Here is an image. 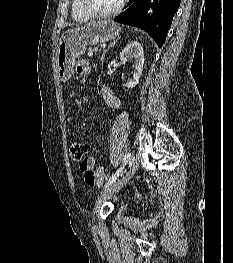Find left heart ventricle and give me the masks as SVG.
Returning a JSON list of instances; mask_svg holds the SVG:
<instances>
[{"label": "left heart ventricle", "mask_w": 233, "mask_h": 263, "mask_svg": "<svg viewBox=\"0 0 233 263\" xmlns=\"http://www.w3.org/2000/svg\"><path fill=\"white\" fill-rule=\"evenodd\" d=\"M120 0H87L88 5L95 11L105 12L118 5Z\"/></svg>", "instance_id": "b2bd125f"}]
</instances>
